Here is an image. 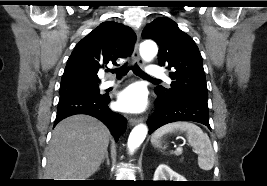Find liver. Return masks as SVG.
Here are the masks:
<instances>
[{
	"instance_id": "obj_1",
	"label": "liver",
	"mask_w": 267,
	"mask_h": 186,
	"mask_svg": "<svg viewBox=\"0 0 267 186\" xmlns=\"http://www.w3.org/2000/svg\"><path fill=\"white\" fill-rule=\"evenodd\" d=\"M109 138L107 127L91 116L74 115L62 120L52 132L45 178L86 180L99 168Z\"/></svg>"
}]
</instances>
